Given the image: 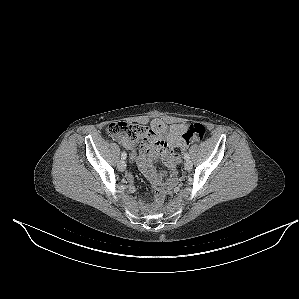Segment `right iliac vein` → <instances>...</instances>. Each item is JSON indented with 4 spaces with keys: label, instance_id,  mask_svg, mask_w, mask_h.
Listing matches in <instances>:
<instances>
[{
    "label": "right iliac vein",
    "instance_id": "obj_1",
    "mask_svg": "<svg viewBox=\"0 0 299 299\" xmlns=\"http://www.w3.org/2000/svg\"><path fill=\"white\" fill-rule=\"evenodd\" d=\"M117 168H118L119 171H124L125 170L126 163H125L124 159H121L120 161H118Z\"/></svg>",
    "mask_w": 299,
    "mask_h": 299
}]
</instances>
